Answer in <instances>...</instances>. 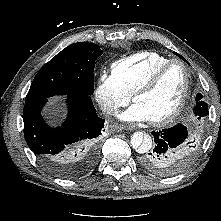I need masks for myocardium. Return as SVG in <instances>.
Wrapping results in <instances>:
<instances>
[{
    "label": "myocardium",
    "mask_w": 221,
    "mask_h": 221,
    "mask_svg": "<svg viewBox=\"0 0 221 221\" xmlns=\"http://www.w3.org/2000/svg\"><path fill=\"white\" fill-rule=\"evenodd\" d=\"M173 64H179L182 66L184 73H185V89L183 92V95L177 104V106L166 116L151 120V123L155 126H163L166 124H169L173 120H175L181 112L184 110L192 90V81H191V73L190 69L187 66V64L182 60L178 58L170 59L160 67H158L151 75L150 77L144 81L133 93L132 100L135 101V99L144 93H147L151 91L160 81L164 73L168 70L169 67H171Z\"/></svg>",
    "instance_id": "obj_1"
}]
</instances>
